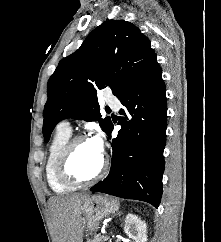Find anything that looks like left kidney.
I'll return each mask as SVG.
<instances>
[{
	"label": "left kidney",
	"mask_w": 221,
	"mask_h": 242,
	"mask_svg": "<svg viewBox=\"0 0 221 242\" xmlns=\"http://www.w3.org/2000/svg\"><path fill=\"white\" fill-rule=\"evenodd\" d=\"M124 232L135 242L147 241V225L137 215L128 214L126 216Z\"/></svg>",
	"instance_id": "left-kidney-1"
}]
</instances>
